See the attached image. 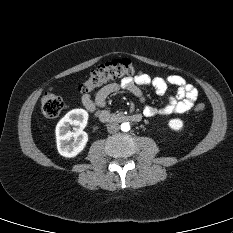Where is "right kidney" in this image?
Returning <instances> with one entry per match:
<instances>
[{"instance_id":"right-kidney-1","label":"right kidney","mask_w":233,"mask_h":233,"mask_svg":"<svg viewBox=\"0 0 233 233\" xmlns=\"http://www.w3.org/2000/svg\"><path fill=\"white\" fill-rule=\"evenodd\" d=\"M88 113L84 109L69 111L56 126V143L60 155L66 158L75 157L86 146L88 134L83 131L87 125ZM73 126V131H70Z\"/></svg>"}]
</instances>
